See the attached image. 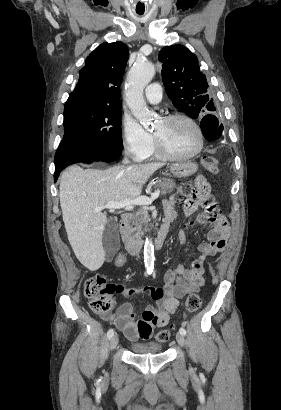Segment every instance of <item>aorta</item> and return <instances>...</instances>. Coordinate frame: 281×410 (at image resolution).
<instances>
[{
    "label": "aorta",
    "instance_id": "762f6f07",
    "mask_svg": "<svg viewBox=\"0 0 281 410\" xmlns=\"http://www.w3.org/2000/svg\"><path fill=\"white\" fill-rule=\"evenodd\" d=\"M155 75V67L150 62L136 63L130 70L127 78L126 103L132 114L144 126H148L153 120V114L149 111L143 97V90ZM154 245L151 238H146L144 244V264L147 273L154 269Z\"/></svg>",
    "mask_w": 281,
    "mask_h": 410
}]
</instances>
